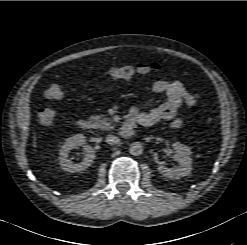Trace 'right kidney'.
Returning a JSON list of instances; mask_svg holds the SVG:
<instances>
[{
	"instance_id": "obj_1",
	"label": "right kidney",
	"mask_w": 247,
	"mask_h": 245,
	"mask_svg": "<svg viewBox=\"0 0 247 245\" xmlns=\"http://www.w3.org/2000/svg\"><path fill=\"white\" fill-rule=\"evenodd\" d=\"M80 146L83 147V150L85 152V158L83 159L82 162L74 164L68 158L69 152L70 150ZM94 159H95V150L86 143V139L82 134H77L66 139V142L63 144L60 150V156H59L60 165L61 168L66 172H79L85 170L89 166H91Z\"/></svg>"
}]
</instances>
